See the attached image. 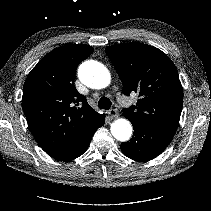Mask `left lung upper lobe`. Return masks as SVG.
Segmentation results:
<instances>
[{
	"label": "left lung upper lobe",
	"instance_id": "5c2ea615",
	"mask_svg": "<svg viewBox=\"0 0 211 211\" xmlns=\"http://www.w3.org/2000/svg\"><path fill=\"white\" fill-rule=\"evenodd\" d=\"M106 54L123 84V93L136 92V106L122 115L143 125L177 128L183 89L172 60L161 50L142 43L109 46Z\"/></svg>",
	"mask_w": 211,
	"mask_h": 211
}]
</instances>
